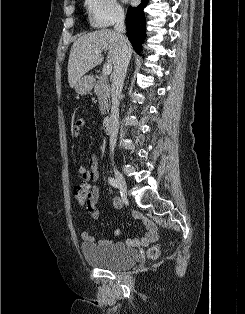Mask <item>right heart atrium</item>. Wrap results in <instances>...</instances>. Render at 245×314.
<instances>
[{"label": "right heart atrium", "mask_w": 245, "mask_h": 314, "mask_svg": "<svg viewBox=\"0 0 245 314\" xmlns=\"http://www.w3.org/2000/svg\"><path fill=\"white\" fill-rule=\"evenodd\" d=\"M86 8L92 26L105 28L119 22L124 11L116 0H86Z\"/></svg>", "instance_id": "d8ad5b80"}]
</instances>
